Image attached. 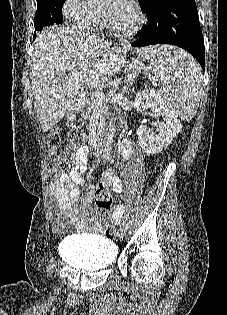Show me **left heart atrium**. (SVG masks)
<instances>
[{
    "mask_svg": "<svg viewBox=\"0 0 227 315\" xmlns=\"http://www.w3.org/2000/svg\"><path fill=\"white\" fill-rule=\"evenodd\" d=\"M132 0H112V6L110 8V13H114L116 11L131 8Z\"/></svg>",
    "mask_w": 227,
    "mask_h": 315,
    "instance_id": "1",
    "label": "left heart atrium"
}]
</instances>
